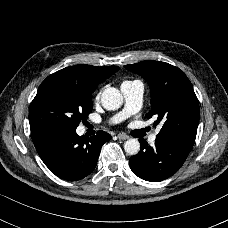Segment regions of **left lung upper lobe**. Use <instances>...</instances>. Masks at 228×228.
<instances>
[{
	"label": "left lung upper lobe",
	"instance_id": "left-lung-upper-lobe-1",
	"mask_svg": "<svg viewBox=\"0 0 228 228\" xmlns=\"http://www.w3.org/2000/svg\"><path fill=\"white\" fill-rule=\"evenodd\" d=\"M139 74L151 89V110L146 115L158 117L164 124L157 137L194 144L199 123V102L187 76L177 67L160 61H142L125 65Z\"/></svg>",
	"mask_w": 228,
	"mask_h": 228
}]
</instances>
